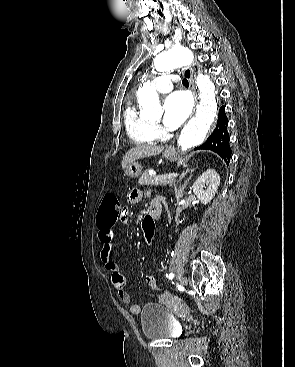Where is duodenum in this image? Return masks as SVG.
<instances>
[{
  "label": "duodenum",
  "instance_id": "obj_1",
  "mask_svg": "<svg viewBox=\"0 0 295 367\" xmlns=\"http://www.w3.org/2000/svg\"><path fill=\"white\" fill-rule=\"evenodd\" d=\"M162 213V204L158 199H154L149 206L148 215L151 219L155 220L160 217Z\"/></svg>",
  "mask_w": 295,
  "mask_h": 367
}]
</instances>
